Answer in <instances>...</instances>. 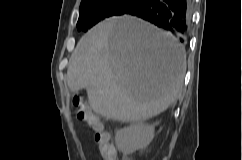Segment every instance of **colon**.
Returning <instances> with one entry per match:
<instances>
[{
  "instance_id": "colon-1",
  "label": "colon",
  "mask_w": 242,
  "mask_h": 160,
  "mask_svg": "<svg viewBox=\"0 0 242 160\" xmlns=\"http://www.w3.org/2000/svg\"><path fill=\"white\" fill-rule=\"evenodd\" d=\"M78 119L84 122L93 132L94 141L103 160H116L115 150L110 142V135L104 129L101 120L80 97L73 100Z\"/></svg>"
}]
</instances>
